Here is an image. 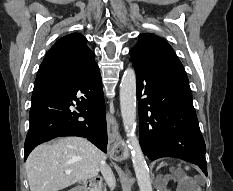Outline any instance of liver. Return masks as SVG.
I'll return each instance as SVG.
<instances>
[{
	"instance_id": "6515ba94",
	"label": "liver",
	"mask_w": 233,
	"mask_h": 191,
	"mask_svg": "<svg viewBox=\"0 0 233 191\" xmlns=\"http://www.w3.org/2000/svg\"><path fill=\"white\" fill-rule=\"evenodd\" d=\"M105 159L102 151L81 137H62L40 145L26 160L30 191H59L94 178Z\"/></svg>"
}]
</instances>
